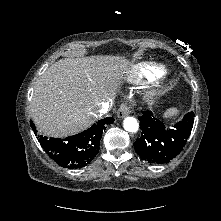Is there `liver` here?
Returning a JSON list of instances; mask_svg holds the SVG:
<instances>
[{
    "instance_id": "liver-1",
    "label": "liver",
    "mask_w": 221,
    "mask_h": 221,
    "mask_svg": "<svg viewBox=\"0 0 221 221\" xmlns=\"http://www.w3.org/2000/svg\"><path fill=\"white\" fill-rule=\"evenodd\" d=\"M129 62L118 56L65 58L40 77L30 104L36 127L47 136L65 137L97 120L100 103L115 94Z\"/></svg>"
}]
</instances>
